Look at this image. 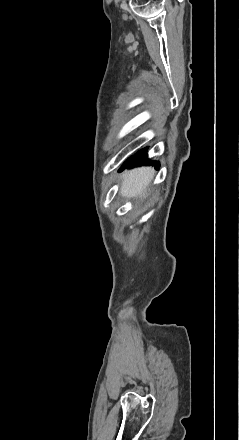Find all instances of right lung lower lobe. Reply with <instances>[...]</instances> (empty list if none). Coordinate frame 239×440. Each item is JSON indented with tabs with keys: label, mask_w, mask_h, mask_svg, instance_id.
I'll return each mask as SVG.
<instances>
[{
	"label": "right lung lower lobe",
	"mask_w": 239,
	"mask_h": 440,
	"mask_svg": "<svg viewBox=\"0 0 239 440\" xmlns=\"http://www.w3.org/2000/svg\"><path fill=\"white\" fill-rule=\"evenodd\" d=\"M146 149H142L139 152H137L134 156H131L123 165L122 168L124 167H133V166H137V165H144V164H152L156 167L159 166V163H154V162H149L147 157H146Z\"/></svg>",
	"instance_id": "98d812e1"
}]
</instances>
